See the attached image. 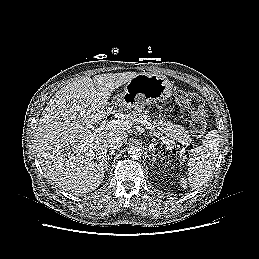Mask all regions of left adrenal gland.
<instances>
[{
  "label": "left adrenal gland",
  "mask_w": 259,
  "mask_h": 259,
  "mask_svg": "<svg viewBox=\"0 0 259 259\" xmlns=\"http://www.w3.org/2000/svg\"><path fill=\"white\" fill-rule=\"evenodd\" d=\"M150 153H151V156H152L151 162H152V165H154V163H156V161H157L158 154L155 153L154 149H151Z\"/></svg>",
  "instance_id": "a2214340"
}]
</instances>
